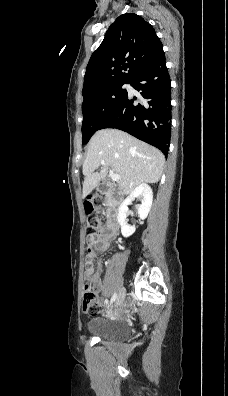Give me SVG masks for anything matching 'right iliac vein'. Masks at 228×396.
<instances>
[{
  "label": "right iliac vein",
  "mask_w": 228,
  "mask_h": 396,
  "mask_svg": "<svg viewBox=\"0 0 228 396\" xmlns=\"http://www.w3.org/2000/svg\"><path fill=\"white\" fill-rule=\"evenodd\" d=\"M125 296H126L125 289L122 288V289L119 291V293H118V295H117V298H116V305H117V306L120 305V304L124 301Z\"/></svg>",
  "instance_id": "right-iliac-vein-1"
}]
</instances>
